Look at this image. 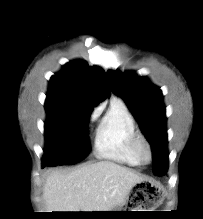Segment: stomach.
Masks as SVG:
<instances>
[{
	"label": "stomach",
	"mask_w": 203,
	"mask_h": 219,
	"mask_svg": "<svg viewBox=\"0 0 203 219\" xmlns=\"http://www.w3.org/2000/svg\"><path fill=\"white\" fill-rule=\"evenodd\" d=\"M136 192L139 193L140 197L138 196V194H134L133 197L130 199V201H128L127 199L123 205L126 208L140 209V210H129V211H154V210H145V209H155L162 202L161 190L158 186H156L153 183H150V182L145 183L143 186H141L139 183V186ZM128 203L130 206H128ZM121 209L122 207L119 206L111 211H126V210H121ZM109 215L117 216L120 214L111 213Z\"/></svg>",
	"instance_id": "obj_1"
}]
</instances>
